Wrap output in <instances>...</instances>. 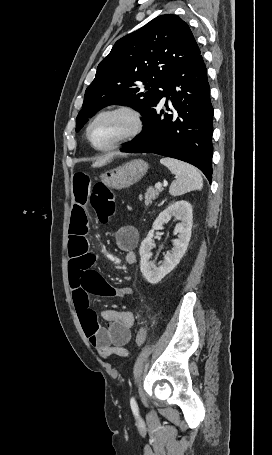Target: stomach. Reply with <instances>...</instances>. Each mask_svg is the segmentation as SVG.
<instances>
[{"mask_svg": "<svg viewBox=\"0 0 272 455\" xmlns=\"http://www.w3.org/2000/svg\"><path fill=\"white\" fill-rule=\"evenodd\" d=\"M149 165L142 159H135L101 175V181L108 188L122 189L129 187L143 178Z\"/></svg>", "mask_w": 272, "mask_h": 455, "instance_id": "obj_1", "label": "stomach"}]
</instances>
